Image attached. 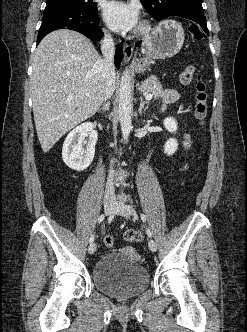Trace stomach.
Listing matches in <instances>:
<instances>
[{
  "instance_id": "obj_1",
  "label": "stomach",
  "mask_w": 247,
  "mask_h": 332,
  "mask_svg": "<svg viewBox=\"0 0 247 332\" xmlns=\"http://www.w3.org/2000/svg\"><path fill=\"white\" fill-rule=\"evenodd\" d=\"M185 35L180 23L165 20L159 23L147 37L142 45L146 58L141 59L135 66L137 73H143L149 67V58L165 59L177 54L183 43Z\"/></svg>"
}]
</instances>
